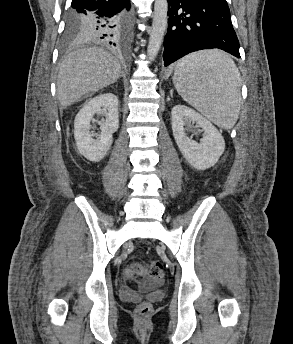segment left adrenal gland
I'll return each mask as SVG.
<instances>
[{
	"label": "left adrenal gland",
	"instance_id": "obj_1",
	"mask_svg": "<svg viewBox=\"0 0 293 344\" xmlns=\"http://www.w3.org/2000/svg\"><path fill=\"white\" fill-rule=\"evenodd\" d=\"M172 95H173V90L170 91V96L172 97Z\"/></svg>",
	"mask_w": 293,
	"mask_h": 344
}]
</instances>
